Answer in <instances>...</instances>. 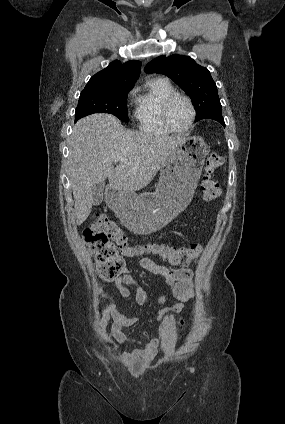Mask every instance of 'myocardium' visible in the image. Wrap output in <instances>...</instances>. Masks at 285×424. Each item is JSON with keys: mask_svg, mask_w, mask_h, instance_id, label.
<instances>
[{"mask_svg": "<svg viewBox=\"0 0 285 424\" xmlns=\"http://www.w3.org/2000/svg\"><path fill=\"white\" fill-rule=\"evenodd\" d=\"M177 99H182V100L186 101L187 104L190 107V110H191V119H190V122L187 125V127H185L184 129H177V128H175L174 126H172V124L170 123V120H169V110H170V107L174 103V101L177 100ZM195 119H196V109H195V106H194L192 100L189 97H187V96H185L183 94H180V93H176V94L170 96L164 102L163 107H162V120H163L164 125L171 132L178 133V134H184V133L189 132L192 129L193 125H194Z\"/></svg>", "mask_w": 285, "mask_h": 424, "instance_id": "f54148a6", "label": "myocardium"}]
</instances>
